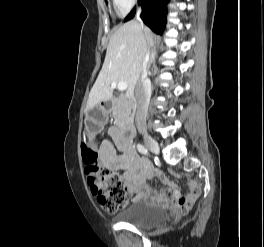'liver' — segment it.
Returning <instances> with one entry per match:
<instances>
[{"instance_id":"obj_1","label":"liver","mask_w":264,"mask_h":247,"mask_svg":"<svg viewBox=\"0 0 264 247\" xmlns=\"http://www.w3.org/2000/svg\"><path fill=\"white\" fill-rule=\"evenodd\" d=\"M144 43L147 50L153 47V34L136 21L125 23L115 31L110 37L102 69L90 91L87 110L111 99L113 82H126L127 96L133 95L142 65Z\"/></svg>"}]
</instances>
